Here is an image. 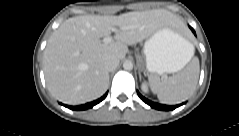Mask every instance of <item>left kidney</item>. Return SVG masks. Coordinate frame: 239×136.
Here are the masks:
<instances>
[{
    "label": "left kidney",
    "instance_id": "obj_1",
    "mask_svg": "<svg viewBox=\"0 0 239 136\" xmlns=\"http://www.w3.org/2000/svg\"><path fill=\"white\" fill-rule=\"evenodd\" d=\"M141 89L144 93H147V94L149 93V88H148V84L146 81L142 82Z\"/></svg>",
    "mask_w": 239,
    "mask_h": 136
}]
</instances>
